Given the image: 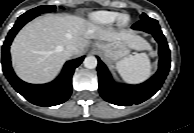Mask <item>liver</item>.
Here are the masks:
<instances>
[{"mask_svg": "<svg viewBox=\"0 0 194 133\" xmlns=\"http://www.w3.org/2000/svg\"><path fill=\"white\" fill-rule=\"evenodd\" d=\"M90 39L106 42L124 41L134 50H150L142 37L127 31L116 32L84 18L71 15H46L25 25L11 45L16 74L29 83L53 80L68 59L64 49L75 45L83 53Z\"/></svg>", "mask_w": 194, "mask_h": 133, "instance_id": "1", "label": "liver"}]
</instances>
